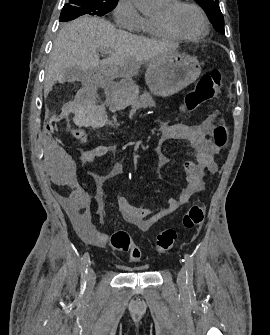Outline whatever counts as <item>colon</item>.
<instances>
[{
	"label": "colon",
	"mask_w": 270,
	"mask_h": 335,
	"mask_svg": "<svg viewBox=\"0 0 270 335\" xmlns=\"http://www.w3.org/2000/svg\"><path fill=\"white\" fill-rule=\"evenodd\" d=\"M222 73L219 69H212L201 75L193 91L185 97L179 110L195 111L203 103L213 99L216 92L221 87ZM73 137L80 142L88 139V132L84 129H74ZM213 138L218 148H223L228 140L229 134L223 124H219L213 129ZM204 219V207L200 203L192 204L182 217V226L187 229H193L201 226ZM178 237V232L173 228L163 229L156 238L155 250L160 253L168 252L173 248ZM112 249L118 252L129 254L131 261H139L142 258V250L135 246L129 233L124 229L116 230L110 240Z\"/></svg>",
	"instance_id": "colon-1"
}]
</instances>
